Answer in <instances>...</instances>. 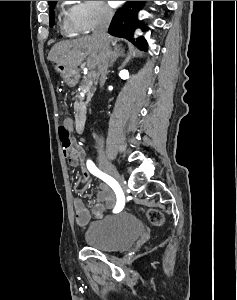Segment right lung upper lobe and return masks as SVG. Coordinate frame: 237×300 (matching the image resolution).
<instances>
[{
	"label": "right lung upper lobe",
	"instance_id": "obj_1",
	"mask_svg": "<svg viewBox=\"0 0 237 300\" xmlns=\"http://www.w3.org/2000/svg\"><path fill=\"white\" fill-rule=\"evenodd\" d=\"M53 1H48V3L50 4V3H52Z\"/></svg>",
	"mask_w": 237,
	"mask_h": 300
}]
</instances>
